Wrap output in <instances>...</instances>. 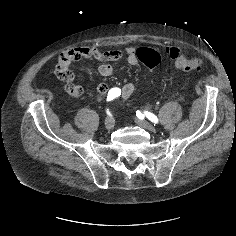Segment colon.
<instances>
[{
  "mask_svg": "<svg viewBox=\"0 0 236 236\" xmlns=\"http://www.w3.org/2000/svg\"><path fill=\"white\" fill-rule=\"evenodd\" d=\"M165 54L173 61L175 67L182 71H195L202 67V60L199 58L186 57L179 48L169 46L165 48ZM139 61L149 69L158 66L162 60L158 49L150 47H140L137 50ZM70 68V61L66 57H61L54 69V74L58 79L63 80Z\"/></svg>",
  "mask_w": 236,
  "mask_h": 236,
  "instance_id": "obj_1",
  "label": "colon"
}]
</instances>
